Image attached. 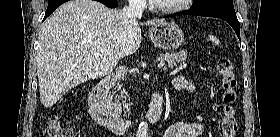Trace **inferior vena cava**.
<instances>
[{
    "mask_svg": "<svg viewBox=\"0 0 280 137\" xmlns=\"http://www.w3.org/2000/svg\"><path fill=\"white\" fill-rule=\"evenodd\" d=\"M144 6L145 4L143 0H129V6H125L121 12L130 22L136 23L137 19L142 16Z\"/></svg>",
    "mask_w": 280,
    "mask_h": 137,
    "instance_id": "obj_1",
    "label": "inferior vena cava"
}]
</instances>
